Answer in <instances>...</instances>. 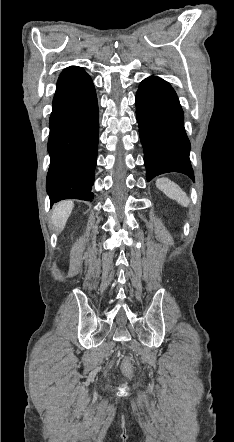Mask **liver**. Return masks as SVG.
Here are the masks:
<instances>
[{"label": "liver", "instance_id": "obj_1", "mask_svg": "<svg viewBox=\"0 0 234 442\" xmlns=\"http://www.w3.org/2000/svg\"><path fill=\"white\" fill-rule=\"evenodd\" d=\"M73 207L74 203L71 200L59 202L53 207L51 222L59 233L63 230Z\"/></svg>", "mask_w": 234, "mask_h": 442}]
</instances>
